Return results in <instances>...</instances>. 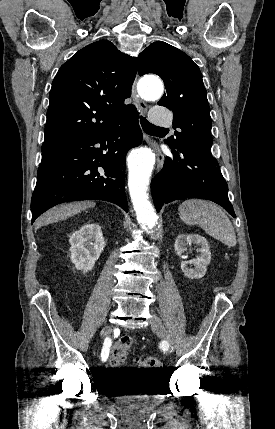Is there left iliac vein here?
Returning <instances> with one entry per match:
<instances>
[{
	"mask_svg": "<svg viewBox=\"0 0 275 429\" xmlns=\"http://www.w3.org/2000/svg\"><path fill=\"white\" fill-rule=\"evenodd\" d=\"M151 327L152 330L167 343L169 350L173 351V340L158 316H153Z\"/></svg>",
	"mask_w": 275,
	"mask_h": 429,
	"instance_id": "obj_1",
	"label": "left iliac vein"
}]
</instances>
